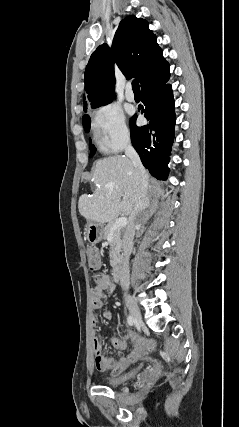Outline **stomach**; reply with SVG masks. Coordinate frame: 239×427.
<instances>
[{
  "label": "stomach",
  "mask_w": 239,
  "mask_h": 427,
  "mask_svg": "<svg viewBox=\"0 0 239 427\" xmlns=\"http://www.w3.org/2000/svg\"><path fill=\"white\" fill-rule=\"evenodd\" d=\"M85 231L87 240L92 244L99 243L105 238L104 225L99 222L88 221Z\"/></svg>",
  "instance_id": "stomach-1"
}]
</instances>
